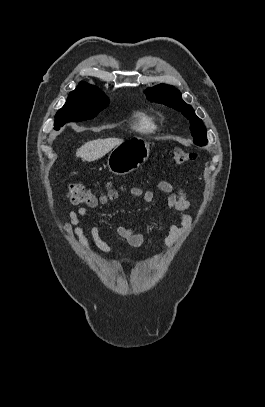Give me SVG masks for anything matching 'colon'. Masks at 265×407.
<instances>
[{"mask_svg":"<svg viewBox=\"0 0 265 407\" xmlns=\"http://www.w3.org/2000/svg\"><path fill=\"white\" fill-rule=\"evenodd\" d=\"M195 157V153L178 148L171 152L172 161L178 165L190 163ZM114 194L115 193L109 184L106 186V191L101 196L93 192L89 187L78 183L69 184L67 189V198L74 205L94 206L100 200L109 199L113 197Z\"/></svg>","mask_w":265,"mask_h":407,"instance_id":"obj_1","label":"colon"}]
</instances>
